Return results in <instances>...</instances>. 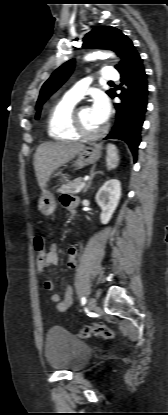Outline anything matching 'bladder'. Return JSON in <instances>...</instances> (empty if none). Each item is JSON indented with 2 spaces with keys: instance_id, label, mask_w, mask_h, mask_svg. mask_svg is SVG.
I'll return each mask as SVG.
<instances>
[{
  "instance_id": "obj_1",
  "label": "bladder",
  "mask_w": 168,
  "mask_h": 415,
  "mask_svg": "<svg viewBox=\"0 0 168 415\" xmlns=\"http://www.w3.org/2000/svg\"><path fill=\"white\" fill-rule=\"evenodd\" d=\"M44 353L47 363L56 370L76 372L92 357V349L66 329L55 326L48 330Z\"/></svg>"
}]
</instances>
